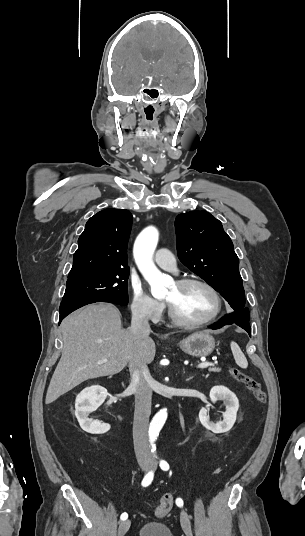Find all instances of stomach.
Masks as SVG:
<instances>
[{
    "label": "stomach",
    "mask_w": 305,
    "mask_h": 536,
    "mask_svg": "<svg viewBox=\"0 0 305 536\" xmlns=\"http://www.w3.org/2000/svg\"><path fill=\"white\" fill-rule=\"evenodd\" d=\"M179 346L185 354L203 358V356L212 354L215 348V340L209 332H195V334L188 336L186 340L179 342Z\"/></svg>",
    "instance_id": "stomach-1"
}]
</instances>
